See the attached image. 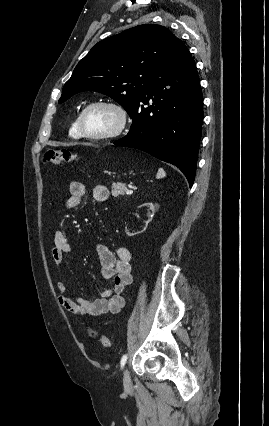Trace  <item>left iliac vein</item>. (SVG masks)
<instances>
[{
	"label": "left iliac vein",
	"mask_w": 269,
	"mask_h": 426,
	"mask_svg": "<svg viewBox=\"0 0 269 426\" xmlns=\"http://www.w3.org/2000/svg\"><path fill=\"white\" fill-rule=\"evenodd\" d=\"M123 385L125 389H130L132 387L130 374L127 368H125L123 372Z\"/></svg>",
	"instance_id": "obj_1"
}]
</instances>
